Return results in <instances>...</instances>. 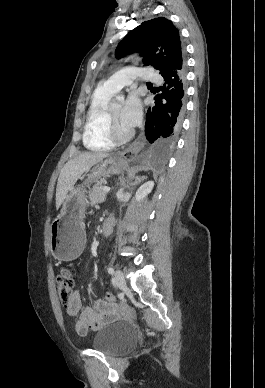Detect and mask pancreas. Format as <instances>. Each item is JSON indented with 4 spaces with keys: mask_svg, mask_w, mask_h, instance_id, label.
<instances>
[{
    "mask_svg": "<svg viewBox=\"0 0 265 388\" xmlns=\"http://www.w3.org/2000/svg\"><path fill=\"white\" fill-rule=\"evenodd\" d=\"M106 192H103V180L100 182H96L95 186H93L91 192H89V200L94 206V204H101V202H105Z\"/></svg>",
    "mask_w": 265,
    "mask_h": 388,
    "instance_id": "1",
    "label": "pancreas"
}]
</instances>
